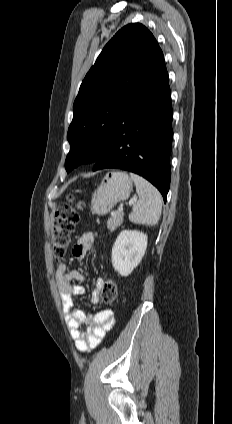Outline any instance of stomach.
Listing matches in <instances>:
<instances>
[{"mask_svg": "<svg viewBox=\"0 0 232 424\" xmlns=\"http://www.w3.org/2000/svg\"><path fill=\"white\" fill-rule=\"evenodd\" d=\"M132 185V180L126 172L107 173L92 195V213L106 215L118 202L129 198Z\"/></svg>", "mask_w": 232, "mask_h": 424, "instance_id": "1", "label": "stomach"}]
</instances>
